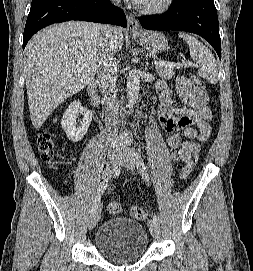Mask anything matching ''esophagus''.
Masks as SVG:
<instances>
[{
    "label": "esophagus",
    "mask_w": 253,
    "mask_h": 271,
    "mask_svg": "<svg viewBox=\"0 0 253 271\" xmlns=\"http://www.w3.org/2000/svg\"><path fill=\"white\" fill-rule=\"evenodd\" d=\"M127 29L135 34H139L142 31L138 20L131 14L127 16Z\"/></svg>",
    "instance_id": "1"
}]
</instances>
